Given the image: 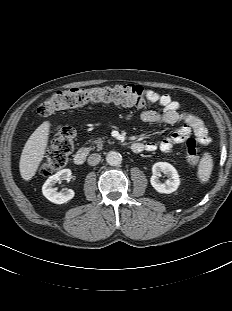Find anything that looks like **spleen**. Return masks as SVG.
Instances as JSON below:
<instances>
[{
    "label": "spleen",
    "mask_w": 232,
    "mask_h": 311,
    "mask_svg": "<svg viewBox=\"0 0 232 311\" xmlns=\"http://www.w3.org/2000/svg\"><path fill=\"white\" fill-rule=\"evenodd\" d=\"M213 169L212 157L209 153H205L198 165V178L202 183L208 182Z\"/></svg>",
    "instance_id": "obj_1"
}]
</instances>
